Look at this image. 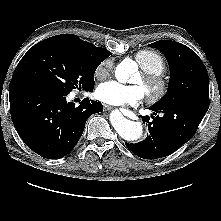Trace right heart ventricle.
<instances>
[{"mask_svg": "<svg viewBox=\"0 0 221 221\" xmlns=\"http://www.w3.org/2000/svg\"><path fill=\"white\" fill-rule=\"evenodd\" d=\"M134 58L143 71L161 74L166 70L163 57L155 51L140 50L135 54Z\"/></svg>", "mask_w": 221, "mask_h": 221, "instance_id": "obj_1", "label": "right heart ventricle"}]
</instances>
